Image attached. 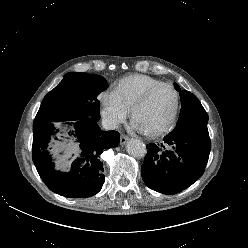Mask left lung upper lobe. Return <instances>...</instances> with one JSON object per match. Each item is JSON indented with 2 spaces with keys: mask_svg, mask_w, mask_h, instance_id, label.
Wrapping results in <instances>:
<instances>
[{
  "mask_svg": "<svg viewBox=\"0 0 248 248\" xmlns=\"http://www.w3.org/2000/svg\"><path fill=\"white\" fill-rule=\"evenodd\" d=\"M174 86L175 89L180 93L182 104L177 125L207 122L208 115L197 97L189 91L181 90L177 84H174Z\"/></svg>",
  "mask_w": 248,
  "mask_h": 248,
  "instance_id": "1",
  "label": "left lung upper lobe"
}]
</instances>
